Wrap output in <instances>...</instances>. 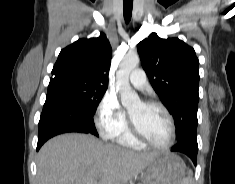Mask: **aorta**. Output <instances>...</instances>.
<instances>
[{
    "label": "aorta",
    "mask_w": 235,
    "mask_h": 184,
    "mask_svg": "<svg viewBox=\"0 0 235 184\" xmlns=\"http://www.w3.org/2000/svg\"><path fill=\"white\" fill-rule=\"evenodd\" d=\"M139 62L137 54H127L116 72V90L120 94L121 104L124 108H129L133 104H141L138 94L133 92L129 82V76L132 70L137 68Z\"/></svg>",
    "instance_id": "762f6f07"
}]
</instances>
